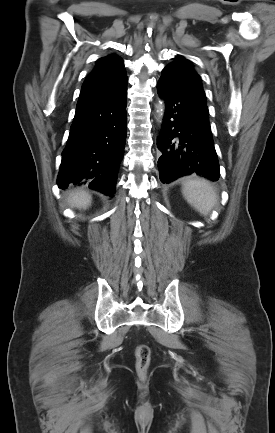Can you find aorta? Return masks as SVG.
I'll use <instances>...</instances> for the list:
<instances>
[{"label": "aorta", "instance_id": "obj_1", "mask_svg": "<svg viewBox=\"0 0 275 433\" xmlns=\"http://www.w3.org/2000/svg\"><path fill=\"white\" fill-rule=\"evenodd\" d=\"M165 113V104L163 101H159V103L156 105V114H157V120H162Z\"/></svg>", "mask_w": 275, "mask_h": 433}]
</instances>
